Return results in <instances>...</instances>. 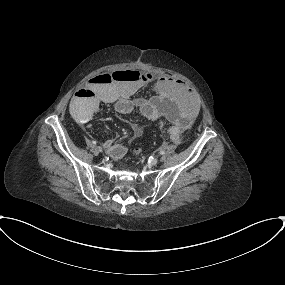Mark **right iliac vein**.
Here are the masks:
<instances>
[{
	"label": "right iliac vein",
	"mask_w": 285,
	"mask_h": 285,
	"mask_svg": "<svg viewBox=\"0 0 285 285\" xmlns=\"http://www.w3.org/2000/svg\"><path fill=\"white\" fill-rule=\"evenodd\" d=\"M95 149H96V151L98 153H102L103 152V148L101 146H96Z\"/></svg>",
	"instance_id": "right-iliac-vein-1"
}]
</instances>
